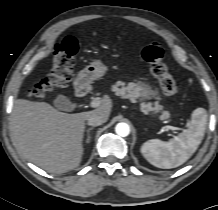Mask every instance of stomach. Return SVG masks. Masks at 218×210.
I'll list each match as a JSON object with an SVG mask.
<instances>
[{"label": "stomach", "instance_id": "obj_1", "mask_svg": "<svg viewBox=\"0 0 218 210\" xmlns=\"http://www.w3.org/2000/svg\"><path fill=\"white\" fill-rule=\"evenodd\" d=\"M108 68L100 60L93 61L86 66L76 77L74 87L76 91H81L90 86V84L105 75Z\"/></svg>", "mask_w": 218, "mask_h": 210}]
</instances>
